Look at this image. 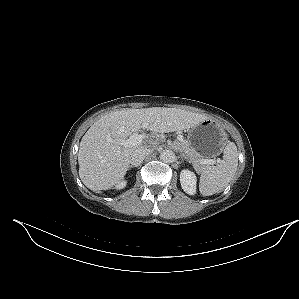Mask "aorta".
<instances>
[{
	"mask_svg": "<svg viewBox=\"0 0 299 299\" xmlns=\"http://www.w3.org/2000/svg\"><path fill=\"white\" fill-rule=\"evenodd\" d=\"M175 159V154L172 150L170 149H165L161 151L160 153V160L165 162V163H171Z\"/></svg>",
	"mask_w": 299,
	"mask_h": 299,
	"instance_id": "aorta-1",
	"label": "aorta"
}]
</instances>
